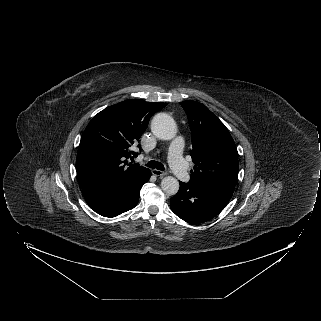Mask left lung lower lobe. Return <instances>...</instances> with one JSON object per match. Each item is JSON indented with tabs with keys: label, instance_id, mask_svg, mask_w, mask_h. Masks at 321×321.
<instances>
[{
	"label": "left lung lower lobe",
	"instance_id": "left-lung-lower-lobe-1",
	"mask_svg": "<svg viewBox=\"0 0 321 321\" xmlns=\"http://www.w3.org/2000/svg\"><path fill=\"white\" fill-rule=\"evenodd\" d=\"M179 183L180 189L171 198L170 206L178 217L192 224L203 223L217 216L234 192L232 187Z\"/></svg>",
	"mask_w": 321,
	"mask_h": 321
}]
</instances>
